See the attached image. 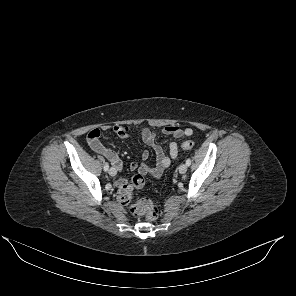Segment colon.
<instances>
[{
	"mask_svg": "<svg viewBox=\"0 0 296 296\" xmlns=\"http://www.w3.org/2000/svg\"><path fill=\"white\" fill-rule=\"evenodd\" d=\"M194 147V142L191 140L185 141L181 144L183 150H191ZM146 183V177L144 173H138L135 175L130 183L122 185L118 191V200L123 205L129 206V211L135 216H143L148 220H155L158 217L159 210L153 204V202L147 198H141L135 203H130L132 198V191L134 188H141Z\"/></svg>",
	"mask_w": 296,
	"mask_h": 296,
	"instance_id": "1",
	"label": "colon"
}]
</instances>
